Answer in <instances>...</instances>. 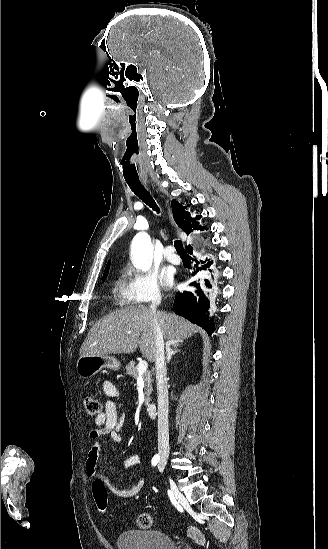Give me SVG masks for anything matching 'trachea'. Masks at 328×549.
Returning a JSON list of instances; mask_svg holds the SVG:
<instances>
[{
  "mask_svg": "<svg viewBox=\"0 0 328 549\" xmlns=\"http://www.w3.org/2000/svg\"><path fill=\"white\" fill-rule=\"evenodd\" d=\"M126 182L129 185L130 189L134 192L135 195H137V197H139V199L142 200V202L148 205L151 209L155 210V212H157L158 214L160 213L159 207L155 203V200H153V197L143 187L140 180H129ZM174 247L176 248L177 253L180 256L187 255V252L184 249L181 240H175Z\"/></svg>",
  "mask_w": 328,
  "mask_h": 549,
  "instance_id": "obj_1",
  "label": "trachea"
}]
</instances>
